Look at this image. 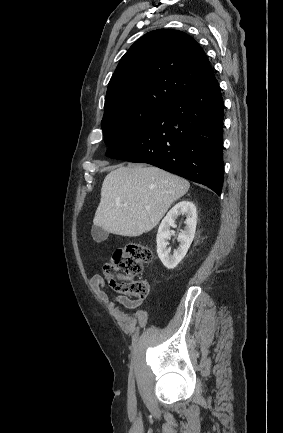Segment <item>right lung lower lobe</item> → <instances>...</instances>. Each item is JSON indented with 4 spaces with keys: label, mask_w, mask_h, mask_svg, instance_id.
<instances>
[{
    "label": "right lung lower lobe",
    "mask_w": 283,
    "mask_h": 433,
    "mask_svg": "<svg viewBox=\"0 0 283 433\" xmlns=\"http://www.w3.org/2000/svg\"><path fill=\"white\" fill-rule=\"evenodd\" d=\"M223 98L218 81L159 111L111 158L148 163L221 194Z\"/></svg>",
    "instance_id": "obj_1"
}]
</instances>
